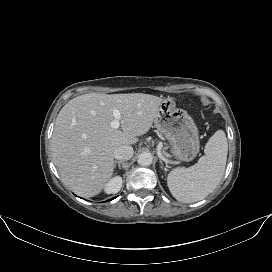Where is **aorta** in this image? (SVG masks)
Returning a JSON list of instances; mask_svg holds the SVG:
<instances>
[{"mask_svg": "<svg viewBox=\"0 0 272 272\" xmlns=\"http://www.w3.org/2000/svg\"><path fill=\"white\" fill-rule=\"evenodd\" d=\"M153 161L151 153L144 152L138 156V164L141 166H149Z\"/></svg>", "mask_w": 272, "mask_h": 272, "instance_id": "1", "label": "aorta"}]
</instances>
